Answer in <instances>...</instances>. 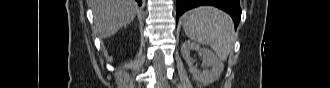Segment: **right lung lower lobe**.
Wrapping results in <instances>:
<instances>
[{
    "label": "right lung lower lobe",
    "instance_id": "1",
    "mask_svg": "<svg viewBox=\"0 0 330 88\" xmlns=\"http://www.w3.org/2000/svg\"><path fill=\"white\" fill-rule=\"evenodd\" d=\"M138 2V4L141 6V4L143 3V0H136Z\"/></svg>",
    "mask_w": 330,
    "mask_h": 88
}]
</instances>
